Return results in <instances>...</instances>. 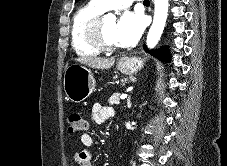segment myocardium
Instances as JSON below:
<instances>
[{
    "label": "myocardium",
    "instance_id": "1",
    "mask_svg": "<svg viewBox=\"0 0 227 166\" xmlns=\"http://www.w3.org/2000/svg\"><path fill=\"white\" fill-rule=\"evenodd\" d=\"M107 16L106 13L96 16L89 21L85 29L89 43L101 52H113L119 49L118 45H110L103 39V24Z\"/></svg>",
    "mask_w": 227,
    "mask_h": 166
}]
</instances>
